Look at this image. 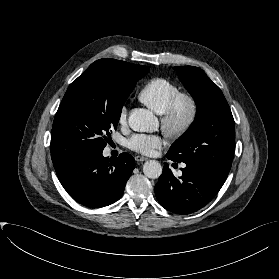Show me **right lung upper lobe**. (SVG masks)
I'll list each match as a JSON object with an SVG mask.
<instances>
[{
    "label": "right lung upper lobe",
    "instance_id": "1",
    "mask_svg": "<svg viewBox=\"0 0 279 279\" xmlns=\"http://www.w3.org/2000/svg\"><path fill=\"white\" fill-rule=\"evenodd\" d=\"M104 66L108 68L110 73L123 82H133L142 78L147 71V66L136 65L119 61L115 59L105 58L99 59L92 63L89 67Z\"/></svg>",
    "mask_w": 279,
    "mask_h": 279
}]
</instances>
